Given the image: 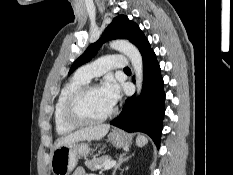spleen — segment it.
<instances>
[{
	"label": "spleen",
	"mask_w": 233,
	"mask_h": 175,
	"mask_svg": "<svg viewBox=\"0 0 233 175\" xmlns=\"http://www.w3.org/2000/svg\"><path fill=\"white\" fill-rule=\"evenodd\" d=\"M147 142H148V140L144 135H139L137 137V140H136L137 146L142 147V146L146 145Z\"/></svg>",
	"instance_id": "1"
}]
</instances>
